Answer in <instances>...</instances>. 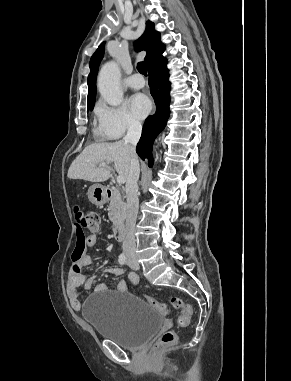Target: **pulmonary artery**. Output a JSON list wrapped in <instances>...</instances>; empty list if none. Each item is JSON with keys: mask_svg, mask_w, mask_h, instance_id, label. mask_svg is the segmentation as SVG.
<instances>
[{"mask_svg": "<svg viewBox=\"0 0 291 381\" xmlns=\"http://www.w3.org/2000/svg\"><path fill=\"white\" fill-rule=\"evenodd\" d=\"M127 84L130 88L138 90L144 87L145 81L140 74H133L128 78Z\"/></svg>", "mask_w": 291, "mask_h": 381, "instance_id": "pulmonary-artery-1", "label": "pulmonary artery"}]
</instances>
